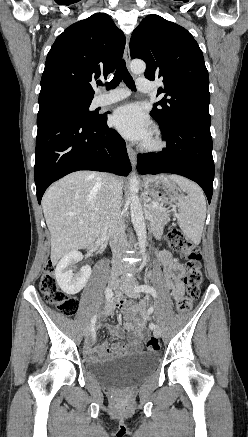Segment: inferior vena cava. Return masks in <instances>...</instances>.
I'll use <instances>...</instances> for the list:
<instances>
[{
    "instance_id": "602c4592",
    "label": "inferior vena cava",
    "mask_w": 248,
    "mask_h": 437,
    "mask_svg": "<svg viewBox=\"0 0 248 437\" xmlns=\"http://www.w3.org/2000/svg\"><path fill=\"white\" fill-rule=\"evenodd\" d=\"M106 202L104 226L110 234V247L113 254V267H123L122 253L127 246L125 223L121 216L122 187L117 177L105 174Z\"/></svg>"
}]
</instances>
